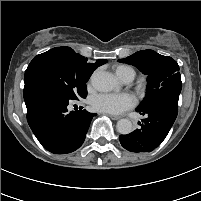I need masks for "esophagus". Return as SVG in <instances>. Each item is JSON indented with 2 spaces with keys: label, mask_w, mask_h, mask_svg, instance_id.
<instances>
[{
  "label": "esophagus",
  "mask_w": 201,
  "mask_h": 201,
  "mask_svg": "<svg viewBox=\"0 0 201 201\" xmlns=\"http://www.w3.org/2000/svg\"><path fill=\"white\" fill-rule=\"evenodd\" d=\"M108 116L113 120H119L120 119L119 116H114V115H108Z\"/></svg>",
  "instance_id": "obj_1"
}]
</instances>
